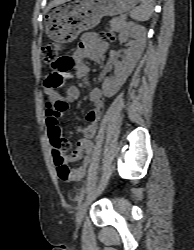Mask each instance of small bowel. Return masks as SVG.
<instances>
[{"instance_id": "small-bowel-1", "label": "small bowel", "mask_w": 194, "mask_h": 250, "mask_svg": "<svg viewBox=\"0 0 194 250\" xmlns=\"http://www.w3.org/2000/svg\"><path fill=\"white\" fill-rule=\"evenodd\" d=\"M107 46V42L97 33H84L81 36L80 42L78 43L73 55L63 57L67 61L64 66V75L70 74L87 82V74L89 69L84 61L86 59H90L96 63H101L104 60ZM54 70L55 69L52 68L51 72ZM106 71L107 68L104 69L102 74L103 85L106 91H111L112 89L110 87V82L104 80L103 78V75ZM46 80L45 87L47 89V94L49 98L55 103V106L49 109L46 114V125L49 137H52L54 135L61 134L58 120L60 116L66 111L68 104L80 98L81 92L77 86L72 85L67 87L65 96L62 97L55 89L47 86ZM88 96L92 107L86 113V124L78 129L82 137L78 140L76 149L69 156L64 157L65 163L68 167L69 164L76 161H81V164L76 168H69L71 177L67 181L81 180L85 176L91 160V153L94 147L92 138L95 135L103 107V90L100 88H92L89 90ZM59 102H63L65 106L60 107L58 105Z\"/></svg>"}]
</instances>
